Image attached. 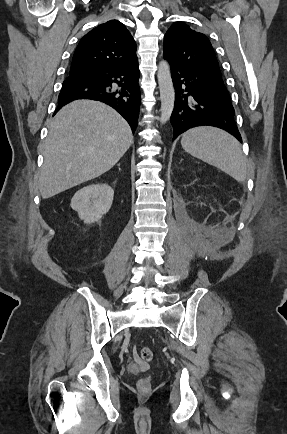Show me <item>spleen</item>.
<instances>
[{"label": "spleen", "mask_w": 287, "mask_h": 434, "mask_svg": "<svg viewBox=\"0 0 287 434\" xmlns=\"http://www.w3.org/2000/svg\"><path fill=\"white\" fill-rule=\"evenodd\" d=\"M183 149L192 156L222 170L238 182L247 175L246 159L239 141L215 127H196L181 139Z\"/></svg>", "instance_id": "3e777b00"}]
</instances>
